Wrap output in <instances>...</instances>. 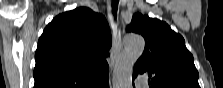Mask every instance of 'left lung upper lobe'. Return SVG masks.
Wrapping results in <instances>:
<instances>
[{
	"instance_id": "left-lung-upper-lobe-1",
	"label": "left lung upper lobe",
	"mask_w": 223,
	"mask_h": 88,
	"mask_svg": "<svg viewBox=\"0 0 223 88\" xmlns=\"http://www.w3.org/2000/svg\"><path fill=\"white\" fill-rule=\"evenodd\" d=\"M127 31L141 34L145 49L134 66L135 78L146 74L151 88H200L199 74L184 38L165 22L147 15H133Z\"/></svg>"
}]
</instances>
